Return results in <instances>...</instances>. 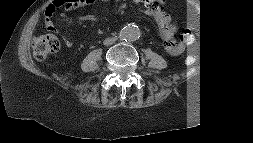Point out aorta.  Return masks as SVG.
Listing matches in <instances>:
<instances>
[{"label":"aorta","instance_id":"762f6f07","mask_svg":"<svg viewBox=\"0 0 253 143\" xmlns=\"http://www.w3.org/2000/svg\"><path fill=\"white\" fill-rule=\"evenodd\" d=\"M141 35L140 29L134 24H128L123 27L119 33V38L126 42H134Z\"/></svg>","mask_w":253,"mask_h":143}]
</instances>
